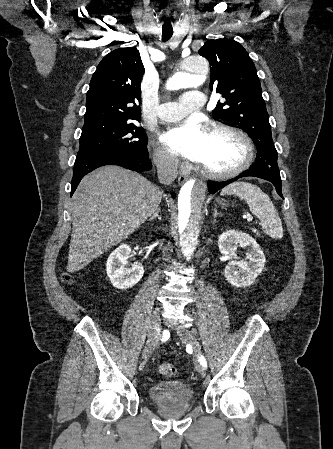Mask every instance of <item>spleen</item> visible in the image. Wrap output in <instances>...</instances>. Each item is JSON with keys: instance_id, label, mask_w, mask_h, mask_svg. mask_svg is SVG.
<instances>
[{"instance_id": "3e777b00", "label": "spleen", "mask_w": 333, "mask_h": 449, "mask_svg": "<svg viewBox=\"0 0 333 449\" xmlns=\"http://www.w3.org/2000/svg\"><path fill=\"white\" fill-rule=\"evenodd\" d=\"M221 195H236L245 200L250 211L261 220L264 232L272 238H282L283 228L278 212L269 196L258 186L247 182H235L223 188Z\"/></svg>"}]
</instances>
